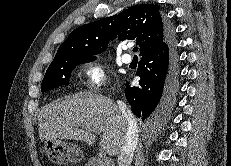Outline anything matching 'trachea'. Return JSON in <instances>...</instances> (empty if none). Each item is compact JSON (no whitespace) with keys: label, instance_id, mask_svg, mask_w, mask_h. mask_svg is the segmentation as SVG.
Segmentation results:
<instances>
[{"label":"trachea","instance_id":"3493384b","mask_svg":"<svg viewBox=\"0 0 231 166\" xmlns=\"http://www.w3.org/2000/svg\"><path fill=\"white\" fill-rule=\"evenodd\" d=\"M137 51H138V47H134L133 52H137Z\"/></svg>","mask_w":231,"mask_h":166}]
</instances>
